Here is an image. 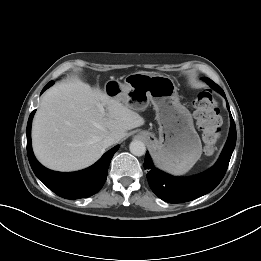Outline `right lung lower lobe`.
Returning a JSON list of instances; mask_svg holds the SVG:
<instances>
[{
	"label": "right lung lower lobe",
	"mask_w": 261,
	"mask_h": 261,
	"mask_svg": "<svg viewBox=\"0 0 261 261\" xmlns=\"http://www.w3.org/2000/svg\"><path fill=\"white\" fill-rule=\"evenodd\" d=\"M53 83V81L49 82L42 92ZM35 111H32L27 123V154L35 175L55 194L66 199L86 198L97 193L106 181L108 166L114 153L119 149V145L110 149L87 169L71 173L49 170L37 161L32 151L31 124Z\"/></svg>",
	"instance_id": "1"
}]
</instances>
